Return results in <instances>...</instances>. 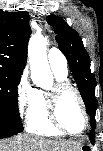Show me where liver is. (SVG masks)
<instances>
[{
	"label": "liver",
	"mask_w": 103,
	"mask_h": 151,
	"mask_svg": "<svg viewBox=\"0 0 103 151\" xmlns=\"http://www.w3.org/2000/svg\"><path fill=\"white\" fill-rule=\"evenodd\" d=\"M81 145L66 140H51L20 134L0 142V151H77Z\"/></svg>",
	"instance_id": "1"
}]
</instances>
